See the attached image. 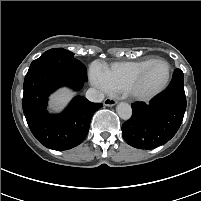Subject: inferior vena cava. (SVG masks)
<instances>
[{
  "label": "inferior vena cava",
  "instance_id": "inferior-vena-cava-1",
  "mask_svg": "<svg viewBox=\"0 0 201 201\" xmlns=\"http://www.w3.org/2000/svg\"><path fill=\"white\" fill-rule=\"evenodd\" d=\"M104 93L98 89L95 88H89L86 92V98L95 103L102 102L104 99Z\"/></svg>",
  "mask_w": 201,
  "mask_h": 201
}]
</instances>
